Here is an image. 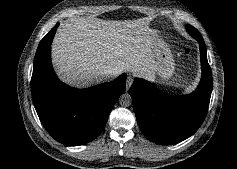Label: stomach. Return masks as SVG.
I'll use <instances>...</instances> for the list:
<instances>
[{
	"label": "stomach",
	"instance_id": "0dacf381",
	"mask_svg": "<svg viewBox=\"0 0 237 169\" xmlns=\"http://www.w3.org/2000/svg\"><path fill=\"white\" fill-rule=\"evenodd\" d=\"M154 60L157 66V72L162 74L163 71L173 65V56L169 44L163 36H159V40L154 52Z\"/></svg>",
	"mask_w": 237,
	"mask_h": 169
}]
</instances>
